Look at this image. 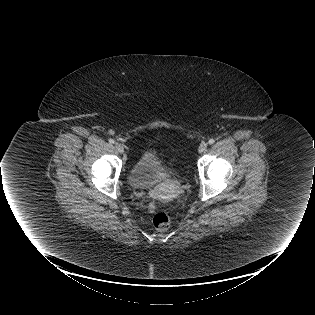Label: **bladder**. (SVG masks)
I'll list each match as a JSON object with an SVG mask.
<instances>
[{"label": "bladder", "instance_id": "obj_1", "mask_svg": "<svg viewBox=\"0 0 315 315\" xmlns=\"http://www.w3.org/2000/svg\"><path fill=\"white\" fill-rule=\"evenodd\" d=\"M162 166L156 150H145L131 166L128 182L133 188H150L170 177Z\"/></svg>", "mask_w": 315, "mask_h": 315}]
</instances>
